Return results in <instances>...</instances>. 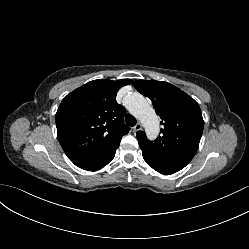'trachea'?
<instances>
[{"instance_id": "obj_1", "label": "trachea", "mask_w": 249, "mask_h": 249, "mask_svg": "<svg viewBox=\"0 0 249 249\" xmlns=\"http://www.w3.org/2000/svg\"><path fill=\"white\" fill-rule=\"evenodd\" d=\"M125 122H126L127 125L132 127V126H135L136 119L131 114H127L125 116Z\"/></svg>"}]
</instances>
